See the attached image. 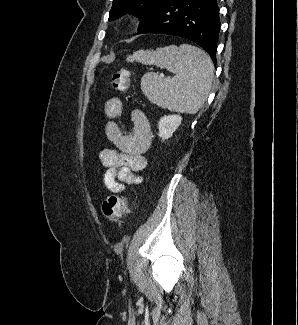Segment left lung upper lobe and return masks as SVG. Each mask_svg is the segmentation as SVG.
Instances as JSON below:
<instances>
[{
    "instance_id": "obj_1",
    "label": "left lung upper lobe",
    "mask_w": 298,
    "mask_h": 325,
    "mask_svg": "<svg viewBox=\"0 0 298 325\" xmlns=\"http://www.w3.org/2000/svg\"><path fill=\"white\" fill-rule=\"evenodd\" d=\"M167 0H113L109 21L126 13H133L140 19L141 27L147 23Z\"/></svg>"
}]
</instances>
